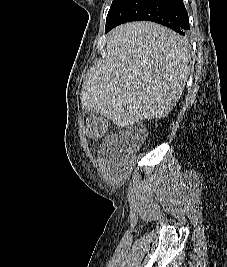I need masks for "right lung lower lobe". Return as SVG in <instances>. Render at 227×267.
<instances>
[{"mask_svg": "<svg viewBox=\"0 0 227 267\" xmlns=\"http://www.w3.org/2000/svg\"><path fill=\"white\" fill-rule=\"evenodd\" d=\"M153 21L171 28L181 35L189 29L188 13L183 0H127L113 20L106 25V32L131 21Z\"/></svg>", "mask_w": 227, "mask_h": 267, "instance_id": "98d812e1", "label": "right lung lower lobe"}]
</instances>
